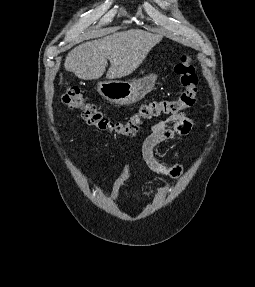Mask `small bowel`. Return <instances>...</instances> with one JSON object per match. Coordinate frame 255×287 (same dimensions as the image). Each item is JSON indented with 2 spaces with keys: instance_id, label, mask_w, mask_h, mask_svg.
<instances>
[{
  "instance_id": "small-bowel-1",
  "label": "small bowel",
  "mask_w": 255,
  "mask_h": 287,
  "mask_svg": "<svg viewBox=\"0 0 255 287\" xmlns=\"http://www.w3.org/2000/svg\"><path fill=\"white\" fill-rule=\"evenodd\" d=\"M194 124L193 121L183 113L173 114L166 119H156L151 125V132L145 138L142 145V158L146 165L155 173L165 175L171 178H176L182 175L184 167L182 164L167 165L157 159L155 148L158 144L173 140L179 136L188 135ZM126 173H122L114 182L110 196L116 201L119 196V191L123 183L126 181ZM162 188H156L142 195L151 196L162 193Z\"/></svg>"
}]
</instances>
